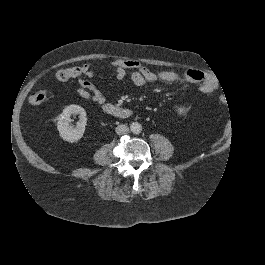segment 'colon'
I'll list each match as a JSON object with an SVG mask.
<instances>
[{
  "label": "colon",
  "instance_id": "obj_1",
  "mask_svg": "<svg viewBox=\"0 0 265 265\" xmlns=\"http://www.w3.org/2000/svg\"><path fill=\"white\" fill-rule=\"evenodd\" d=\"M84 71L85 69L83 66L60 69L56 72V78L59 81H66L71 78H77L79 76H82L84 74ZM46 96L47 94L45 91L43 90L36 91L30 95L29 102L32 105H39L45 101ZM220 101L224 103L225 100L223 97H221Z\"/></svg>",
  "mask_w": 265,
  "mask_h": 265
}]
</instances>
